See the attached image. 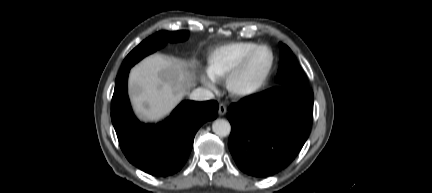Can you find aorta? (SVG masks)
I'll return each mask as SVG.
<instances>
[{
	"label": "aorta",
	"instance_id": "obj_1",
	"mask_svg": "<svg viewBox=\"0 0 432 193\" xmlns=\"http://www.w3.org/2000/svg\"><path fill=\"white\" fill-rule=\"evenodd\" d=\"M212 130L219 137H226L231 132V125L225 119H216L212 124Z\"/></svg>",
	"mask_w": 432,
	"mask_h": 193
}]
</instances>
